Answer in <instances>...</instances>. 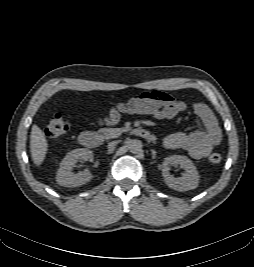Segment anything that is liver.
<instances>
[{"instance_id": "obj_1", "label": "liver", "mask_w": 254, "mask_h": 267, "mask_svg": "<svg viewBox=\"0 0 254 267\" xmlns=\"http://www.w3.org/2000/svg\"><path fill=\"white\" fill-rule=\"evenodd\" d=\"M48 143L44 132L34 124L30 135V152L32 161L36 166H40L47 154Z\"/></svg>"}]
</instances>
